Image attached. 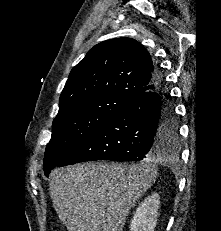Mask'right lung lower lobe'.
<instances>
[{"instance_id":"1","label":"right lung lower lobe","mask_w":221,"mask_h":231,"mask_svg":"<svg viewBox=\"0 0 221 231\" xmlns=\"http://www.w3.org/2000/svg\"><path fill=\"white\" fill-rule=\"evenodd\" d=\"M155 74V88L128 100L57 166L93 160L140 161L175 147L165 137L173 130L170 95L157 66Z\"/></svg>"}]
</instances>
